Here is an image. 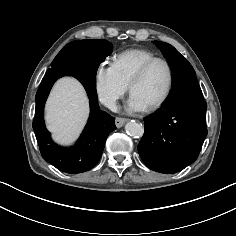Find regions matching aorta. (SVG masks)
I'll use <instances>...</instances> for the list:
<instances>
[{
    "instance_id": "obj_1",
    "label": "aorta",
    "mask_w": 236,
    "mask_h": 236,
    "mask_svg": "<svg viewBox=\"0 0 236 236\" xmlns=\"http://www.w3.org/2000/svg\"><path fill=\"white\" fill-rule=\"evenodd\" d=\"M125 130L128 135L132 137H142L144 134V128L142 124L135 121L128 122L125 126Z\"/></svg>"
}]
</instances>
